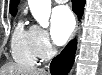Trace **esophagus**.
I'll list each match as a JSON object with an SVG mask.
<instances>
[{"label":"esophagus","instance_id":"34e87169","mask_svg":"<svg viewBox=\"0 0 102 75\" xmlns=\"http://www.w3.org/2000/svg\"><path fill=\"white\" fill-rule=\"evenodd\" d=\"M78 33H79V27L76 28L75 32L73 33L72 38L77 37L78 36Z\"/></svg>","mask_w":102,"mask_h":75}]
</instances>
